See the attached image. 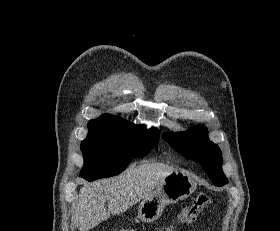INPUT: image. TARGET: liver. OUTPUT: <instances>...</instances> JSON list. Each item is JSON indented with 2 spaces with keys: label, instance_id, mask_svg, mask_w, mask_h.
Masks as SVG:
<instances>
[{
  "label": "liver",
  "instance_id": "1",
  "mask_svg": "<svg viewBox=\"0 0 280 231\" xmlns=\"http://www.w3.org/2000/svg\"><path fill=\"white\" fill-rule=\"evenodd\" d=\"M172 171L174 167H169L167 163H142L136 167L129 165L116 177L85 183L78 193L74 209L77 227L88 231L102 219H108L110 213H123L147 197L157 183ZM105 201H108V209H105Z\"/></svg>",
  "mask_w": 280,
  "mask_h": 231
}]
</instances>
